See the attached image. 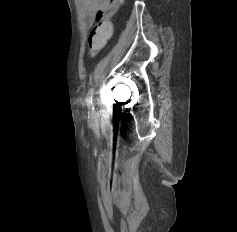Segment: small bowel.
I'll return each mask as SVG.
<instances>
[{"label": "small bowel", "instance_id": "c3829d8e", "mask_svg": "<svg viewBox=\"0 0 237 232\" xmlns=\"http://www.w3.org/2000/svg\"><path fill=\"white\" fill-rule=\"evenodd\" d=\"M85 11L96 20L111 17L119 6V0H83Z\"/></svg>", "mask_w": 237, "mask_h": 232}]
</instances>
